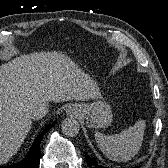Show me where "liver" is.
Wrapping results in <instances>:
<instances>
[{
  "label": "liver",
  "instance_id": "obj_1",
  "mask_svg": "<svg viewBox=\"0 0 168 168\" xmlns=\"http://www.w3.org/2000/svg\"><path fill=\"white\" fill-rule=\"evenodd\" d=\"M100 98L94 81L59 52L22 55L0 66V164L17 153L35 106Z\"/></svg>",
  "mask_w": 168,
  "mask_h": 168
}]
</instances>
